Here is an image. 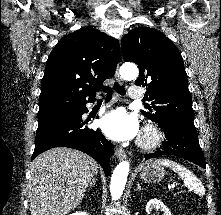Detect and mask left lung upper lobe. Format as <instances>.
Wrapping results in <instances>:
<instances>
[{"instance_id": "obj_1", "label": "left lung upper lobe", "mask_w": 221, "mask_h": 215, "mask_svg": "<svg viewBox=\"0 0 221 215\" xmlns=\"http://www.w3.org/2000/svg\"><path fill=\"white\" fill-rule=\"evenodd\" d=\"M122 52L125 61L138 65L140 75L135 84L146 86L152 101L150 111L142 110V114L158 123L194 120L183 59L169 38L155 29L140 27L123 37Z\"/></svg>"}]
</instances>
